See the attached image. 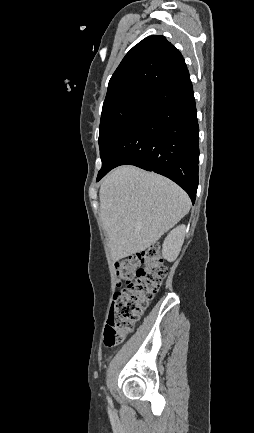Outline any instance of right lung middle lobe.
Instances as JSON below:
<instances>
[{
    "label": "right lung middle lobe",
    "mask_w": 254,
    "mask_h": 433,
    "mask_svg": "<svg viewBox=\"0 0 254 433\" xmlns=\"http://www.w3.org/2000/svg\"><path fill=\"white\" fill-rule=\"evenodd\" d=\"M146 102V99H128L102 109L99 128L101 169L104 168L110 152L124 128Z\"/></svg>",
    "instance_id": "1"
}]
</instances>
